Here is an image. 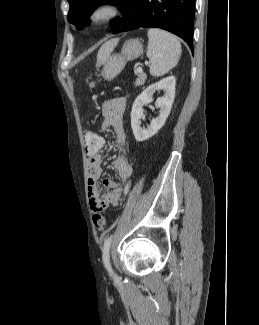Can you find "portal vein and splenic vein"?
<instances>
[{
	"label": "portal vein and splenic vein",
	"mask_w": 259,
	"mask_h": 325,
	"mask_svg": "<svg viewBox=\"0 0 259 325\" xmlns=\"http://www.w3.org/2000/svg\"><path fill=\"white\" fill-rule=\"evenodd\" d=\"M137 72H139V73L142 72V67H141V66H139V67L137 68Z\"/></svg>",
	"instance_id": "18ae733b"
}]
</instances>
